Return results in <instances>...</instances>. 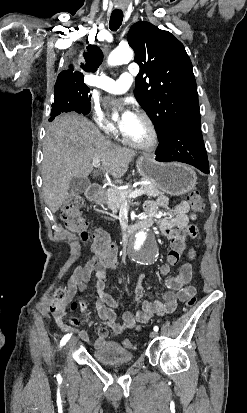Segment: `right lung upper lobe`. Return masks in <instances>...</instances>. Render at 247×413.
<instances>
[{
	"label": "right lung upper lobe",
	"mask_w": 247,
	"mask_h": 413,
	"mask_svg": "<svg viewBox=\"0 0 247 413\" xmlns=\"http://www.w3.org/2000/svg\"><path fill=\"white\" fill-rule=\"evenodd\" d=\"M85 65L83 69L89 72H95L103 60V54L96 45L87 46V52L84 53ZM84 75L73 68L62 71L57 78L56 83L83 81Z\"/></svg>",
	"instance_id": "right-lung-upper-lobe-1"
}]
</instances>
